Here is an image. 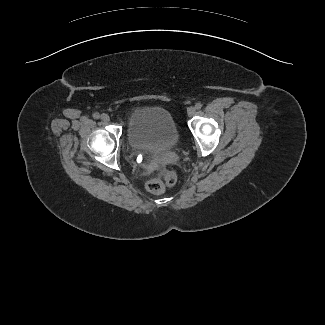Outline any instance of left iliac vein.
<instances>
[{
	"mask_svg": "<svg viewBox=\"0 0 325 325\" xmlns=\"http://www.w3.org/2000/svg\"><path fill=\"white\" fill-rule=\"evenodd\" d=\"M187 113H188L189 117L194 116L196 114V108L193 107V106L189 107L188 110H187Z\"/></svg>",
	"mask_w": 325,
	"mask_h": 325,
	"instance_id": "4c4485c4",
	"label": "left iliac vein"
}]
</instances>
